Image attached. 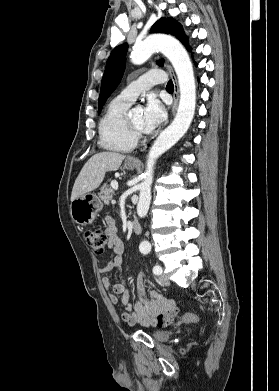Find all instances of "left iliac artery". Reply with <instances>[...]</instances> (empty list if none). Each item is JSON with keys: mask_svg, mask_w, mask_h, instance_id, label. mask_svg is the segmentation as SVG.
<instances>
[{"mask_svg": "<svg viewBox=\"0 0 279 391\" xmlns=\"http://www.w3.org/2000/svg\"><path fill=\"white\" fill-rule=\"evenodd\" d=\"M153 273H154L155 275H161V274H162V269H161V267L158 266V265L154 266V267H153Z\"/></svg>", "mask_w": 279, "mask_h": 391, "instance_id": "44dca946", "label": "left iliac artery"}]
</instances>
